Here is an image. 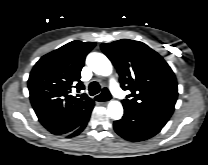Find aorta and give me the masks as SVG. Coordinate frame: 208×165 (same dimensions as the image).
I'll use <instances>...</instances> for the list:
<instances>
[{
    "label": "aorta",
    "instance_id": "762f6f07",
    "mask_svg": "<svg viewBox=\"0 0 208 165\" xmlns=\"http://www.w3.org/2000/svg\"><path fill=\"white\" fill-rule=\"evenodd\" d=\"M86 63L95 74L101 76L112 74V64L104 54L97 52L90 53L86 58ZM107 110L109 116L114 120H119L123 115L122 104L117 100L110 101Z\"/></svg>",
    "mask_w": 208,
    "mask_h": 165
}]
</instances>
